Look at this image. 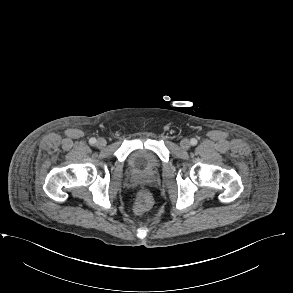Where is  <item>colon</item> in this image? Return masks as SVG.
Here are the masks:
<instances>
[{
  "instance_id": "obj_1",
  "label": "colon",
  "mask_w": 293,
  "mask_h": 293,
  "mask_svg": "<svg viewBox=\"0 0 293 293\" xmlns=\"http://www.w3.org/2000/svg\"><path fill=\"white\" fill-rule=\"evenodd\" d=\"M152 206V197L149 192L140 190L137 195V200L134 206L136 214L141 215L145 213Z\"/></svg>"
}]
</instances>
